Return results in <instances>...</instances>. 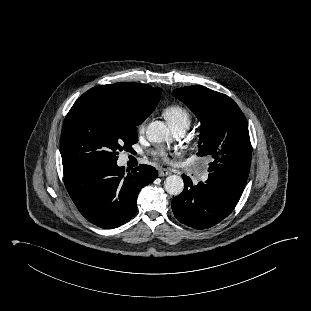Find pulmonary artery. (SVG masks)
Here are the masks:
<instances>
[{"mask_svg": "<svg viewBox=\"0 0 311 311\" xmlns=\"http://www.w3.org/2000/svg\"><path fill=\"white\" fill-rule=\"evenodd\" d=\"M187 127L186 126H179L175 127L172 129L174 135L176 137H182L186 133ZM199 178L202 181H206L208 179V173L207 172H202L199 174Z\"/></svg>", "mask_w": 311, "mask_h": 311, "instance_id": "e3ab8cb5", "label": "pulmonary artery"}]
</instances>
